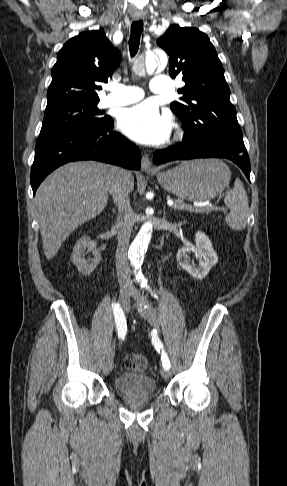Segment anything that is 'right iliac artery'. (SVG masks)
Masks as SVG:
<instances>
[{
	"mask_svg": "<svg viewBox=\"0 0 287 486\" xmlns=\"http://www.w3.org/2000/svg\"><path fill=\"white\" fill-rule=\"evenodd\" d=\"M113 311L115 316L116 327L118 331V337L124 339L127 331L126 318L124 316L123 310L119 304L113 305Z\"/></svg>",
	"mask_w": 287,
	"mask_h": 486,
	"instance_id": "right-iliac-artery-1",
	"label": "right iliac artery"
}]
</instances>
